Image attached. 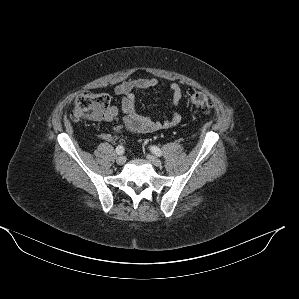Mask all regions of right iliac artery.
Returning <instances> with one entry per match:
<instances>
[{
    "label": "right iliac artery",
    "instance_id": "82829eb1",
    "mask_svg": "<svg viewBox=\"0 0 299 299\" xmlns=\"http://www.w3.org/2000/svg\"><path fill=\"white\" fill-rule=\"evenodd\" d=\"M116 153H117L118 155H122V154L124 153V147L121 146V145L117 146V148H116Z\"/></svg>",
    "mask_w": 299,
    "mask_h": 299
}]
</instances>
